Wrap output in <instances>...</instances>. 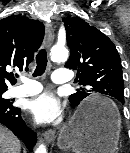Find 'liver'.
Wrapping results in <instances>:
<instances>
[{
    "mask_svg": "<svg viewBox=\"0 0 130 153\" xmlns=\"http://www.w3.org/2000/svg\"><path fill=\"white\" fill-rule=\"evenodd\" d=\"M21 144L18 138L0 124V153H20Z\"/></svg>",
    "mask_w": 130,
    "mask_h": 153,
    "instance_id": "obj_1",
    "label": "liver"
}]
</instances>
